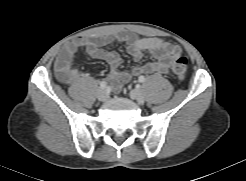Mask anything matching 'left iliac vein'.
Masks as SVG:
<instances>
[{
	"label": "left iliac vein",
	"mask_w": 246,
	"mask_h": 181,
	"mask_svg": "<svg viewBox=\"0 0 246 181\" xmlns=\"http://www.w3.org/2000/svg\"><path fill=\"white\" fill-rule=\"evenodd\" d=\"M129 95L132 100L137 101L138 103H144L145 101V96L141 90L132 89Z\"/></svg>",
	"instance_id": "left-iliac-vein-1"
}]
</instances>
